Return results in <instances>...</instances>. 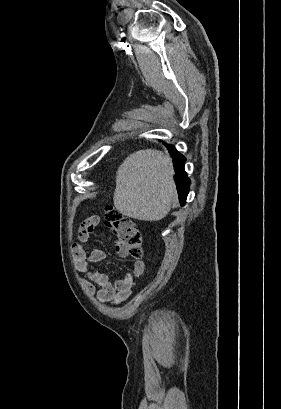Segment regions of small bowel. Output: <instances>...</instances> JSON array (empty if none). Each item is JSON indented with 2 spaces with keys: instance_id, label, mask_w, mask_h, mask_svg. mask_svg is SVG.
I'll list each match as a JSON object with an SVG mask.
<instances>
[{
  "instance_id": "c3829d8e",
  "label": "small bowel",
  "mask_w": 281,
  "mask_h": 409,
  "mask_svg": "<svg viewBox=\"0 0 281 409\" xmlns=\"http://www.w3.org/2000/svg\"><path fill=\"white\" fill-rule=\"evenodd\" d=\"M87 222H80L79 233L80 240L87 242L89 235H97L98 227L95 224L102 223L101 215H88ZM113 250L125 256L126 251L121 243H115ZM74 264L79 270L88 272L89 279L83 280L85 287L92 293L96 292L97 298L103 303H121L125 301L131 294L134 285L135 277L140 276L145 268L144 262L138 260L134 265V269L118 280H110L109 277L102 273L95 264L105 258V252L101 248H94L89 253L78 243L72 246ZM96 286L99 289L96 291Z\"/></svg>"
}]
</instances>
